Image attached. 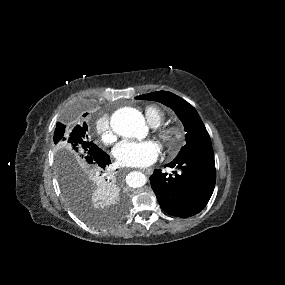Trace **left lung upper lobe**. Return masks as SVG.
<instances>
[{
    "label": "left lung upper lobe",
    "mask_w": 285,
    "mask_h": 285,
    "mask_svg": "<svg viewBox=\"0 0 285 285\" xmlns=\"http://www.w3.org/2000/svg\"><path fill=\"white\" fill-rule=\"evenodd\" d=\"M136 99L154 100L170 107L182 121L186 133V145L175 159L199 153H213L209 134L196 109L181 97L167 91L137 96Z\"/></svg>",
    "instance_id": "obj_1"
}]
</instances>
